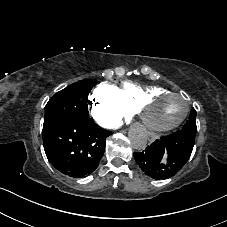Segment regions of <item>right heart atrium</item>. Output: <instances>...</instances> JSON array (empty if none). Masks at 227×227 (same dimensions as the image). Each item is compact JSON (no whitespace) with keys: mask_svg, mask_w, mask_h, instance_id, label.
I'll list each match as a JSON object with an SVG mask.
<instances>
[{"mask_svg":"<svg viewBox=\"0 0 227 227\" xmlns=\"http://www.w3.org/2000/svg\"><path fill=\"white\" fill-rule=\"evenodd\" d=\"M91 100L93 118L106 129L118 128L130 114L122 102L119 88L109 82L97 85L92 92Z\"/></svg>","mask_w":227,"mask_h":227,"instance_id":"d8ad5b80","label":"right heart atrium"}]
</instances>
